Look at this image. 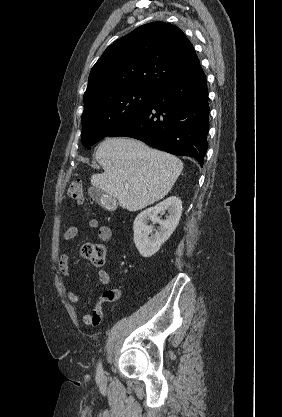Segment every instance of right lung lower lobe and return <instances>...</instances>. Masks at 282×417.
<instances>
[{"label":"right lung lower lobe","mask_w":282,"mask_h":417,"mask_svg":"<svg viewBox=\"0 0 282 417\" xmlns=\"http://www.w3.org/2000/svg\"><path fill=\"white\" fill-rule=\"evenodd\" d=\"M209 130L208 89L200 67L160 86L150 102L109 137L125 136L203 166Z\"/></svg>","instance_id":"right-lung-lower-lobe-1"}]
</instances>
